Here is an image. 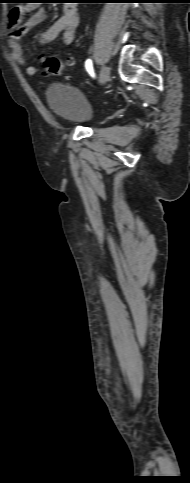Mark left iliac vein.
<instances>
[{"label": "left iliac vein", "mask_w": 190, "mask_h": 483, "mask_svg": "<svg viewBox=\"0 0 190 483\" xmlns=\"http://www.w3.org/2000/svg\"><path fill=\"white\" fill-rule=\"evenodd\" d=\"M109 79H110V68L107 65H105V66H103L101 73H100L101 84L107 83L109 81Z\"/></svg>", "instance_id": "1"}]
</instances>
